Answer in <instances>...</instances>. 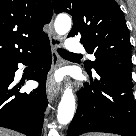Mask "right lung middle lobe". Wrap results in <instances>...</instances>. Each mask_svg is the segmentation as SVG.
<instances>
[{"label":"right lung middle lobe","mask_w":136,"mask_h":136,"mask_svg":"<svg viewBox=\"0 0 136 136\" xmlns=\"http://www.w3.org/2000/svg\"><path fill=\"white\" fill-rule=\"evenodd\" d=\"M4 64H0V68L3 67Z\"/></svg>","instance_id":"dd1d6c3e"}]
</instances>
